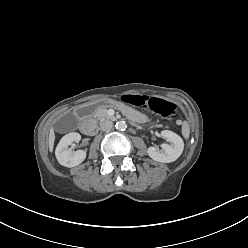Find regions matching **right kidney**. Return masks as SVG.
<instances>
[{
    "instance_id": "ca27d5eb",
    "label": "right kidney",
    "mask_w": 248,
    "mask_h": 248,
    "mask_svg": "<svg viewBox=\"0 0 248 248\" xmlns=\"http://www.w3.org/2000/svg\"><path fill=\"white\" fill-rule=\"evenodd\" d=\"M81 135L77 132H71L63 136L56 147L55 155L58 162L65 167H75L81 164L86 158V151H72L68 148L73 142H79Z\"/></svg>"
}]
</instances>
